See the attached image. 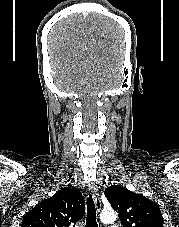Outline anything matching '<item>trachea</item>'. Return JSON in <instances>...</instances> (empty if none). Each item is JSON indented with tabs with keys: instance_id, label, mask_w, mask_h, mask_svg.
Segmentation results:
<instances>
[{
	"instance_id": "trachea-1",
	"label": "trachea",
	"mask_w": 179,
	"mask_h": 227,
	"mask_svg": "<svg viewBox=\"0 0 179 227\" xmlns=\"http://www.w3.org/2000/svg\"><path fill=\"white\" fill-rule=\"evenodd\" d=\"M86 227H98L95 204L91 194L87 197Z\"/></svg>"
}]
</instances>
